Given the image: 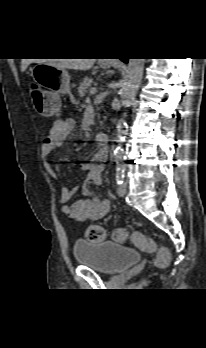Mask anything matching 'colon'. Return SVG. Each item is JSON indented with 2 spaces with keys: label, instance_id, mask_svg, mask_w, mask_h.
<instances>
[{
  "label": "colon",
  "instance_id": "1",
  "mask_svg": "<svg viewBox=\"0 0 206 348\" xmlns=\"http://www.w3.org/2000/svg\"><path fill=\"white\" fill-rule=\"evenodd\" d=\"M28 91L36 108L46 114L57 113V102L55 98L45 95L40 86L34 83L30 84ZM85 237L88 241L99 242L105 240L107 232L106 229L100 225H90L85 231ZM112 238L119 243L130 241L144 252L156 253L154 266L157 268H164L169 264L170 252L168 249L165 247L158 248L154 240L144 236L140 232H130L127 229L118 228L112 232Z\"/></svg>",
  "mask_w": 206,
  "mask_h": 348
}]
</instances>
